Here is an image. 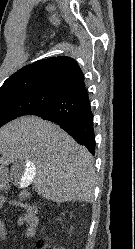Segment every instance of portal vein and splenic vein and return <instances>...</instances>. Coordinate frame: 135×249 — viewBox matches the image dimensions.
<instances>
[{"instance_id": "portal-vein-and-splenic-vein-1", "label": "portal vein and splenic vein", "mask_w": 135, "mask_h": 249, "mask_svg": "<svg viewBox=\"0 0 135 249\" xmlns=\"http://www.w3.org/2000/svg\"><path fill=\"white\" fill-rule=\"evenodd\" d=\"M34 171H35V166L29 163V169H28L29 178H33V176L35 175Z\"/></svg>"}]
</instances>
